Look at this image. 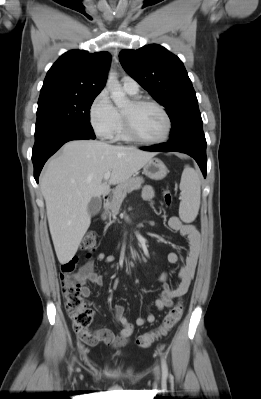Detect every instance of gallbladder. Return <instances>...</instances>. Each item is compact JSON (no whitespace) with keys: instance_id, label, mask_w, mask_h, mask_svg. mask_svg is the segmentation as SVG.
Instances as JSON below:
<instances>
[{"instance_id":"1","label":"gallbladder","mask_w":261,"mask_h":399,"mask_svg":"<svg viewBox=\"0 0 261 399\" xmlns=\"http://www.w3.org/2000/svg\"><path fill=\"white\" fill-rule=\"evenodd\" d=\"M101 205H102L101 198L93 197L88 204V213L91 216L96 215L99 212Z\"/></svg>"}]
</instances>
